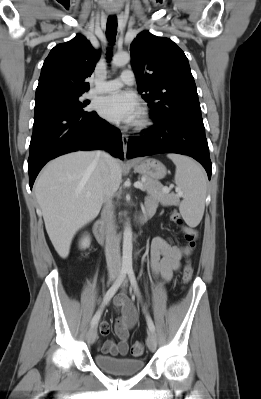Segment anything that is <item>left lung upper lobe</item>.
Wrapping results in <instances>:
<instances>
[{
	"label": "left lung upper lobe",
	"instance_id": "5c2ea615",
	"mask_svg": "<svg viewBox=\"0 0 261 399\" xmlns=\"http://www.w3.org/2000/svg\"><path fill=\"white\" fill-rule=\"evenodd\" d=\"M130 52L138 92H145L152 117L164 121L182 112H201L188 59L171 39L143 31Z\"/></svg>",
	"mask_w": 261,
	"mask_h": 399
}]
</instances>
